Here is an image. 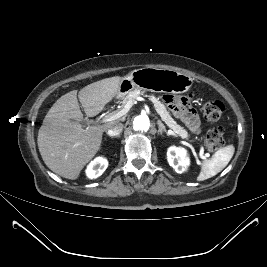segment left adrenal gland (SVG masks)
<instances>
[{
  "instance_id": "left-adrenal-gland-1",
  "label": "left adrenal gland",
  "mask_w": 267,
  "mask_h": 267,
  "mask_svg": "<svg viewBox=\"0 0 267 267\" xmlns=\"http://www.w3.org/2000/svg\"><path fill=\"white\" fill-rule=\"evenodd\" d=\"M157 124H158L159 132L161 135L163 134V132H165V133H167V135H169L168 132L166 131L164 124L160 120L157 121Z\"/></svg>"
}]
</instances>
